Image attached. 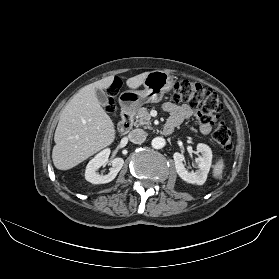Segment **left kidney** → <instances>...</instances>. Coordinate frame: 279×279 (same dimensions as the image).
I'll return each instance as SVG.
<instances>
[{"label": "left kidney", "mask_w": 279, "mask_h": 279, "mask_svg": "<svg viewBox=\"0 0 279 279\" xmlns=\"http://www.w3.org/2000/svg\"><path fill=\"white\" fill-rule=\"evenodd\" d=\"M197 151L201 153L196 161L198 169L194 172H189L184 165V156L178 152L174 153L173 158L175 168L181 179L187 183L202 185L207 179L211 164H212V151L211 148L203 143L197 145Z\"/></svg>", "instance_id": "1"}]
</instances>
